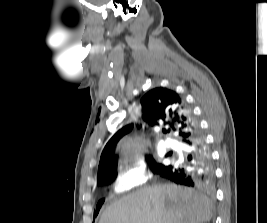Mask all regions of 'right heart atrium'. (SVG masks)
Wrapping results in <instances>:
<instances>
[{
    "instance_id": "right-heart-atrium-1",
    "label": "right heart atrium",
    "mask_w": 267,
    "mask_h": 223,
    "mask_svg": "<svg viewBox=\"0 0 267 223\" xmlns=\"http://www.w3.org/2000/svg\"><path fill=\"white\" fill-rule=\"evenodd\" d=\"M151 178V169L143 163H138L119 171L115 176L113 188L116 193L132 191L147 183Z\"/></svg>"
}]
</instances>
